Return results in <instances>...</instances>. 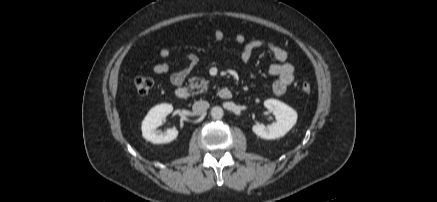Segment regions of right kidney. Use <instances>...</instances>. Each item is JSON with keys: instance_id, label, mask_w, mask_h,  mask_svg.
<instances>
[{"instance_id": "ca27d5eb", "label": "right kidney", "mask_w": 437, "mask_h": 202, "mask_svg": "<svg viewBox=\"0 0 437 202\" xmlns=\"http://www.w3.org/2000/svg\"><path fill=\"white\" fill-rule=\"evenodd\" d=\"M173 111L171 104H160L153 107L142 122V136L153 144L169 143L176 139L178 130L175 128L167 129L165 132L157 131L162 125L163 119Z\"/></svg>"}]
</instances>
